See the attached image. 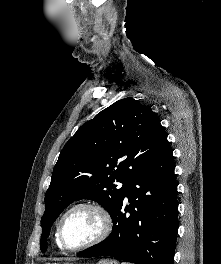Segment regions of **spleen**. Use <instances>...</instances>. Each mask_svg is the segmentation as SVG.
I'll use <instances>...</instances> for the list:
<instances>
[{
  "label": "spleen",
  "instance_id": "obj_1",
  "mask_svg": "<svg viewBox=\"0 0 221 264\" xmlns=\"http://www.w3.org/2000/svg\"><path fill=\"white\" fill-rule=\"evenodd\" d=\"M121 264H128V263H126V262H123V263H121Z\"/></svg>",
  "mask_w": 221,
  "mask_h": 264
}]
</instances>
